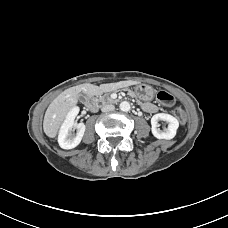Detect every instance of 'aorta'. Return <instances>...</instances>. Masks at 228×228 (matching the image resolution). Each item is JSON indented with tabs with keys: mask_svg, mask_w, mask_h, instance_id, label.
<instances>
[{
	"mask_svg": "<svg viewBox=\"0 0 228 228\" xmlns=\"http://www.w3.org/2000/svg\"><path fill=\"white\" fill-rule=\"evenodd\" d=\"M120 110L124 112H128L131 108L130 103L128 101H123L120 103Z\"/></svg>",
	"mask_w": 228,
	"mask_h": 228,
	"instance_id": "obj_1",
	"label": "aorta"
}]
</instances>
